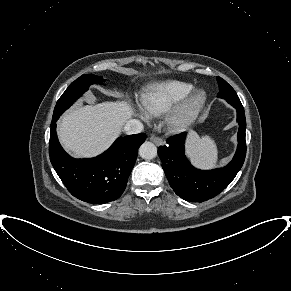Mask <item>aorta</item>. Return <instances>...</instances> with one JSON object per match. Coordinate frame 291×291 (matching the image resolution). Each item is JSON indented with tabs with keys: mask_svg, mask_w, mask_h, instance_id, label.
Returning a JSON list of instances; mask_svg holds the SVG:
<instances>
[{
	"mask_svg": "<svg viewBox=\"0 0 291 291\" xmlns=\"http://www.w3.org/2000/svg\"><path fill=\"white\" fill-rule=\"evenodd\" d=\"M139 155L146 160L157 156V147L152 142H144L139 148Z\"/></svg>",
	"mask_w": 291,
	"mask_h": 291,
	"instance_id": "762f6f07",
	"label": "aorta"
}]
</instances>
